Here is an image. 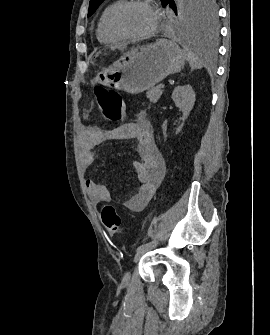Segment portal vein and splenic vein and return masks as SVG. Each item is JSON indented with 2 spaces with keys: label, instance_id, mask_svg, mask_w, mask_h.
Masks as SVG:
<instances>
[{
  "label": "portal vein and splenic vein",
  "instance_id": "18ae733b",
  "mask_svg": "<svg viewBox=\"0 0 270 335\" xmlns=\"http://www.w3.org/2000/svg\"><path fill=\"white\" fill-rule=\"evenodd\" d=\"M164 87H165V83L163 82L162 85L160 86V90H163Z\"/></svg>",
  "mask_w": 270,
  "mask_h": 335
}]
</instances>
